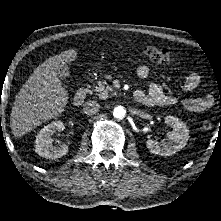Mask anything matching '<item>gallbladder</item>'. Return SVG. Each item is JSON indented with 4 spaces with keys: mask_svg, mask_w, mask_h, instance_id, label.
I'll use <instances>...</instances> for the list:
<instances>
[{
    "mask_svg": "<svg viewBox=\"0 0 221 221\" xmlns=\"http://www.w3.org/2000/svg\"><path fill=\"white\" fill-rule=\"evenodd\" d=\"M58 75L61 80H65L69 76V67L67 64L60 65Z\"/></svg>",
    "mask_w": 221,
    "mask_h": 221,
    "instance_id": "gallbladder-1",
    "label": "gallbladder"
}]
</instances>
